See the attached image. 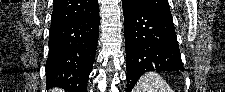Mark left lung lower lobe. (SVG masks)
I'll return each instance as SVG.
<instances>
[{"label": "left lung lower lobe", "mask_w": 225, "mask_h": 92, "mask_svg": "<svg viewBox=\"0 0 225 92\" xmlns=\"http://www.w3.org/2000/svg\"><path fill=\"white\" fill-rule=\"evenodd\" d=\"M127 92L147 71H184L171 14L122 0Z\"/></svg>", "instance_id": "left-lung-lower-lobe-1"}]
</instances>
